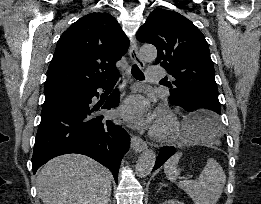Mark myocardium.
Returning <instances> with one entry per match:
<instances>
[{
    "instance_id": "myocardium-1",
    "label": "myocardium",
    "mask_w": 261,
    "mask_h": 204,
    "mask_svg": "<svg viewBox=\"0 0 261 204\" xmlns=\"http://www.w3.org/2000/svg\"><path fill=\"white\" fill-rule=\"evenodd\" d=\"M157 119L162 120L164 126L159 128L155 123L150 131L151 137L161 142L174 139L180 129V123L175 113L169 108L162 107L157 111Z\"/></svg>"
}]
</instances>
